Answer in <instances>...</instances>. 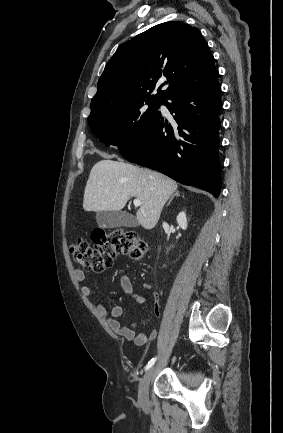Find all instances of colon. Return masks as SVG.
<instances>
[{
	"label": "colon",
	"mask_w": 283,
	"mask_h": 433,
	"mask_svg": "<svg viewBox=\"0 0 283 433\" xmlns=\"http://www.w3.org/2000/svg\"><path fill=\"white\" fill-rule=\"evenodd\" d=\"M91 246L79 238L70 248L74 260L86 271L101 272L112 266L119 254L141 259L147 251V243L135 232L116 229L109 233L92 235Z\"/></svg>",
	"instance_id": "5ec220e1"
}]
</instances>
